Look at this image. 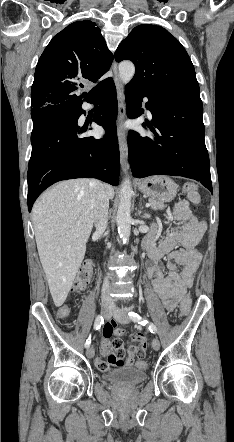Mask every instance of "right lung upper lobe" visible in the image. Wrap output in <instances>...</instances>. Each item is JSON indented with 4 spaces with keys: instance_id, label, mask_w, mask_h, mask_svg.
Wrapping results in <instances>:
<instances>
[{
    "instance_id": "cb5924a9",
    "label": "right lung upper lobe",
    "mask_w": 234,
    "mask_h": 442,
    "mask_svg": "<svg viewBox=\"0 0 234 442\" xmlns=\"http://www.w3.org/2000/svg\"><path fill=\"white\" fill-rule=\"evenodd\" d=\"M94 22H74L55 35L38 60L31 89L32 109L81 101L83 81L93 83L104 75L113 61L101 31Z\"/></svg>"
}]
</instances>
